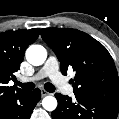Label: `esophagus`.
Returning <instances> with one entry per match:
<instances>
[{
    "mask_svg": "<svg viewBox=\"0 0 119 119\" xmlns=\"http://www.w3.org/2000/svg\"><path fill=\"white\" fill-rule=\"evenodd\" d=\"M50 93L45 91L44 89H41V95L42 97L49 95Z\"/></svg>",
    "mask_w": 119,
    "mask_h": 119,
    "instance_id": "esophagus-1",
    "label": "esophagus"
}]
</instances>
